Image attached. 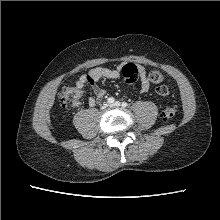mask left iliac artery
Wrapping results in <instances>:
<instances>
[{
    "mask_svg": "<svg viewBox=\"0 0 220 220\" xmlns=\"http://www.w3.org/2000/svg\"><path fill=\"white\" fill-rule=\"evenodd\" d=\"M122 107H127V103H126V102H123V103H122Z\"/></svg>",
    "mask_w": 220,
    "mask_h": 220,
    "instance_id": "44dca946",
    "label": "left iliac artery"
}]
</instances>
